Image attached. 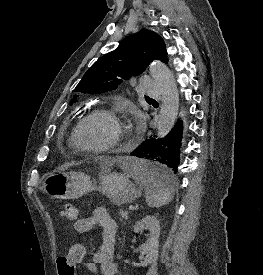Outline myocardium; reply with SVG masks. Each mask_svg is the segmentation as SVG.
<instances>
[{
	"label": "myocardium",
	"instance_id": "obj_1",
	"mask_svg": "<svg viewBox=\"0 0 263 275\" xmlns=\"http://www.w3.org/2000/svg\"><path fill=\"white\" fill-rule=\"evenodd\" d=\"M96 116H104L113 121L117 128L116 138L109 144L103 146H89L81 142L79 131L81 127L90 119ZM132 136L130 127L121 119V117L113 109L107 107H96L88 111L76 122L72 134L71 141L75 149L88 154H104L120 151L124 149Z\"/></svg>",
	"mask_w": 263,
	"mask_h": 275
}]
</instances>
